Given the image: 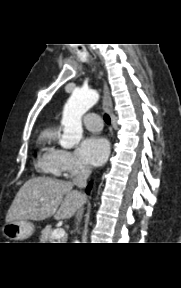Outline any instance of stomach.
<instances>
[{
	"instance_id": "obj_1",
	"label": "stomach",
	"mask_w": 181,
	"mask_h": 288,
	"mask_svg": "<svg viewBox=\"0 0 181 288\" xmlns=\"http://www.w3.org/2000/svg\"><path fill=\"white\" fill-rule=\"evenodd\" d=\"M34 226L27 220H18L5 223L2 234L10 241H23L32 236Z\"/></svg>"
}]
</instances>
